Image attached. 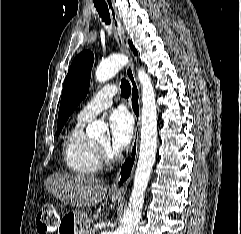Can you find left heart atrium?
<instances>
[{
	"label": "left heart atrium",
	"instance_id": "1",
	"mask_svg": "<svg viewBox=\"0 0 241 234\" xmlns=\"http://www.w3.org/2000/svg\"><path fill=\"white\" fill-rule=\"evenodd\" d=\"M108 124L111 135V148L118 152L124 149L131 141L133 135V121L130 115L123 109L113 111Z\"/></svg>",
	"mask_w": 241,
	"mask_h": 234
}]
</instances>
